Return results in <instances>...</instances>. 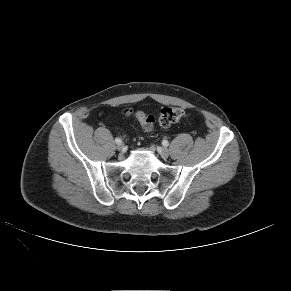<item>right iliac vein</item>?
Listing matches in <instances>:
<instances>
[{
  "label": "right iliac vein",
  "instance_id": "right-iliac-vein-1",
  "mask_svg": "<svg viewBox=\"0 0 291 291\" xmlns=\"http://www.w3.org/2000/svg\"><path fill=\"white\" fill-rule=\"evenodd\" d=\"M123 148H124L123 144L120 143L117 145V150L122 151Z\"/></svg>",
  "mask_w": 291,
  "mask_h": 291
}]
</instances>
